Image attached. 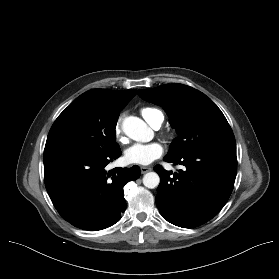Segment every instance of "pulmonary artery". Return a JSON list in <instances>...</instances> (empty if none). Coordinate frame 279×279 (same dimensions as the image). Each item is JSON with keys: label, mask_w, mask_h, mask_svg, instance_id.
<instances>
[{"label": "pulmonary artery", "mask_w": 279, "mask_h": 279, "mask_svg": "<svg viewBox=\"0 0 279 279\" xmlns=\"http://www.w3.org/2000/svg\"><path fill=\"white\" fill-rule=\"evenodd\" d=\"M162 123V119L161 118H158L154 124L152 125L154 128H158Z\"/></svg>", "instance_id": "e3ab8cb5"}]
</instances>
